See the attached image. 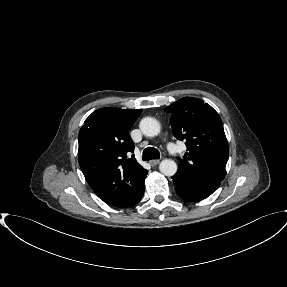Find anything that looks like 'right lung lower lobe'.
Here are the masks:
<instances>
[{"label": "right lung lower lobe", "mask_w": 287, "mask_h": 287, "mask_svg": "<svg viewBox=\"0 0 287 287\" xmlns=\"http://www.w3.org/2000/svg\"><path fill=\"white\" fill-rule=\"evenodd\" d=\"M143 194H144V183H143L142 187L138 190V193L133 198V200L128 205H126L125 207L132 206V205L136 204L137 202H139L142 199Z\"/></svg>", "instance_id": "right-lung-lower-lobe-1"}]
</instances>
